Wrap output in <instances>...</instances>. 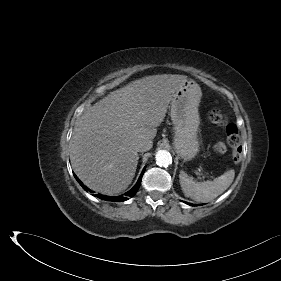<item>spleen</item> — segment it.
Instances as JSON below:
<instances>
[{
  "label": "spleen",
  "instance_id": "spleen-1",
  "mask_svg": "<svg viewBox=\"0 0 281 281\" xmlns=\"http://www.w3.org/2000/svg\"><path fill=\"white\" fill-rule=\"evenodd\" d=\"M234 177L233 169L226 171L213 181L205 182H195L184 171H181L179 175L180 185L185 196L202 203L211 202L221 195L232 184Z\"/></svg>",
  "mask_w": 281,
  "mask_h": 281
}]
</instances>
